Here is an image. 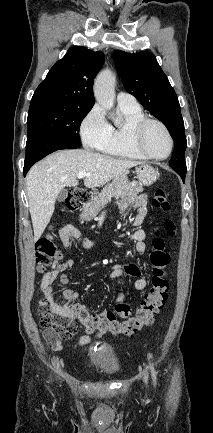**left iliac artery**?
<instances>
[{
	"instance_id": "1",
	"label": "left iliac artery",
	"mask_w": 213,
	"mask_h": 433,
	"mask_svg": "<svg viewBox=\"0 0 213 433\" xmlns=\"http://www.w3.org/2000/svg\"><path fill=\"white\" fill-rule=\"evenodd\" d=\"M150 369H151V372H152L153 382H154V385H155L156 384V372L154 370L153 365H151V364H150Z\"/></svg>"
}]
</instances>
